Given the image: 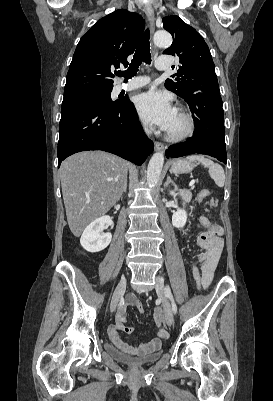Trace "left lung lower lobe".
Segmentation results:
<instances>
[{
    "label": "left lung lower lobe",
    "mask_w": 273,
    "mask_h": 401,
    "mask_svg": "<svg viewBox=\"0 0 273 401\" xmlns=\"http://www.w3.org/2000/svg\"><path fill=\"white\" fill-rule=\"evenodd\" d=\"M183 99L189 104L195 123L193 137L169 147L167 157H181L200 153L216 157L226 164L224 139V111L220 95L193 93Z\"/></svg>",
    "instance_id": "left-lung-lower-lobe-1"
}]
</instances>
